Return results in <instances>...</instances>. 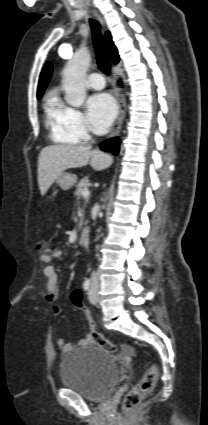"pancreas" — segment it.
I'll return each mask as SVG.
<instances>
[{
	"label": "pancreas",
	"mask_w": 208,
	"mask_h": 425,
	"mask_svg": "<svg viewBox=\"0 0 208 425\" xmlns=\"http://www.w3.org/2000/svg\"><path fill=\"white\" fill-rule=\"evenodd\" d=\"M90 186L89 180L85 177L83 178L78 185L76 186L77 189L75 191V195L77 196V199H79L83 195V191L85 189H88Z\"/></svg>",
	"instance_id": "1"
}]
</instances>
